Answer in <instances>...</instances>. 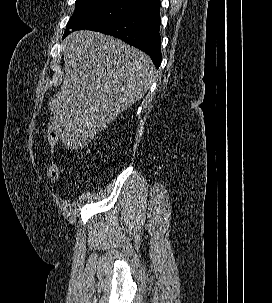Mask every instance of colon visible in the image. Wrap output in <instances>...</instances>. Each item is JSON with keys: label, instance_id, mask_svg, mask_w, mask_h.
<instances>
[{"label": "colon", "instance_id": "colon-1", "mask_svg": "<svg viewBox=\"0 0 272 303\" xmlns=\"http://www.w3.org/2000/svg\"><path fill=\"white\" fill-rule=\"evenodd\" d=\"M47 138L51 150L55 148L59 141V131L55 124H50L47 130ZM59 167L54 159H52L45 168V175L49 180H56L59 178Z\"/></svg>", "mask_w": 272, "mask_h": 303}]
</instances>
